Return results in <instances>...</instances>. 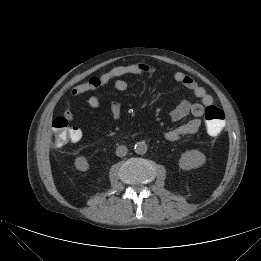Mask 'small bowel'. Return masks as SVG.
I'll return each instance as SVG.
<instances>
[{
  "mask_svg": "<svg viewBox=\"0 0 261 261\" xmlns=\"http://www.w3.org/2000/svg\"><path fill=\"white\" fill-rule=\"evenodd\" d=\"M154 70L155 69L152 66L145 63L118 66L99 76H93L86 82L77 84L72 88L71 94L73 96L90 94L87 98V104L93 109H98L100 108L101 103L98 97L93 94L95 90L109 84L110 82H114V87L118 91H125L128 88V83L125 80L126 76L150 74L154 72ZM173 79L186 89L190 90L199 102L193 103L188 100H183L170 112V117L174 121L182 120L188 115H192L193 118L168 130L164 134L165 139L168 141H177L183 136L196 133L201 126V117L204 114L205 108L213 103L212 96L207 93L205 88L200 86L192 77L183 72H175ZM109 109L114 120L120 117L121 106L118 102H110ZM63 117H65L68 121H72L74 119V113L70 109H65L63 112Z\"/></svg>",
  "mask_w": 261,
  "mask_h": 261,
  "instance_id": "small-bowel-1",
  "label": "small bowel"
}]
</instances>
